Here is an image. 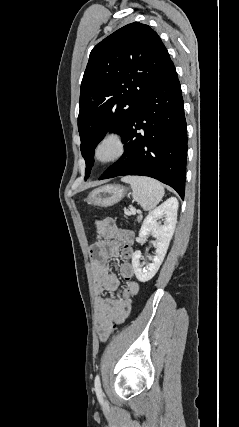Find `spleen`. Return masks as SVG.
<instances>
[{"mask_svg": "<svg viewBox=\"0 0 239 427\" xmlns=\"http://www.w3.org/2000/svg\"><path fill=\"white\" fill-rule=\"evenodd\" d=\"M129 183L133 190V198L144 210L157 206L164 196V188L160 182L143 176H126L121 179Z\"/></svg>", "mask_w": 239, "mask_h": 427, "instance_id": "1", "label": "spleen"}]
</instances>
